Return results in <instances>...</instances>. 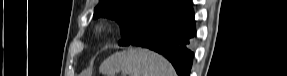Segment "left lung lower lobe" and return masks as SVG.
Segmentation results:
<instances>
[{
  "instance_id": "left-lung-lower-lobe-1",
  "label": "left lung lower lobe",
  "mask_w": 287,
  "mask_h": 76,
  "mask_svg": "<svg viewBox=\"0 0 287 76\" xmlns=\"http://www.w3.org/2000/svg\"><path fill=\"white\" fill-rule=\"evenodd\" d=\"M195 35L194 13L187 0L179 10L162 18L129 45L149 48L164 55L179 76H189L194 56L189 44Z\"/></svg>"
}]
</instances>
